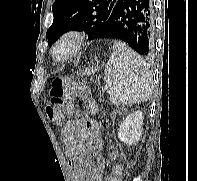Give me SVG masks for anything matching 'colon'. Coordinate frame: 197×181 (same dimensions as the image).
Wrapping results in <instances>:
<instances>
[{
    "instance_id": "obj_1",
    "label": "colon",
    "mask_w": 197,
    "mask_h": 181,
    "mask_svg": "<svg viewBox=\"0 0 197 181\" xmlns=\"http://www.w3.org/2000/svg\"><path fill=\"white\" fill-rule=\"evenodd\" d=\"M77 93H82L88 110L94 111V102L79 83L69 79L54 80L49 90L50 102L45 107L48 118L51 121L61 123L66 116L72 114L73 101ZM106 181H121L118 166L107 176Z\"/></svg>"
}]
</instances>
